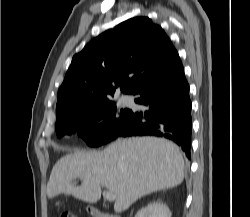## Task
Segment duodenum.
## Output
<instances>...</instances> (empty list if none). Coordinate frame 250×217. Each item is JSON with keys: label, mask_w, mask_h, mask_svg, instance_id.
<instances>
[{"label": "duodenum", "mask_w": 250, "mask_h": 217, "mask_svg": "<svg viewBox=\"0 0 250 217\" xmlns=\"http://www.w3.org/2000/svg\"><path fill=\"white\" fill-rule=\"evenodd\" d=\"M89 211H90L92 217H120L118 215L104 213L103 211H101L95 207H90Z\"/></svg>", "instance_id": "410a0bca"}]
</instances>
